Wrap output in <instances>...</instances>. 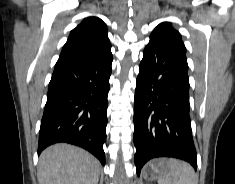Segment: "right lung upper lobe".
Listing matches in <instances>:
<instances>
[{"mask_svg": "<svg viewBox=\"0 0 235 184\" xmlns=\"http://www.w3.org/2000/svg\"><path fill=\"white\" fill-rule=\"evenodd\" d=\"M105 23L97 17L84 19L68 37L59 60L93 61L112 58Z\"/></svg>", "mask_w": 235, "mask_h": 184, "instance_id": "1", "label": "right lung upper lobe"}]
</instances>
